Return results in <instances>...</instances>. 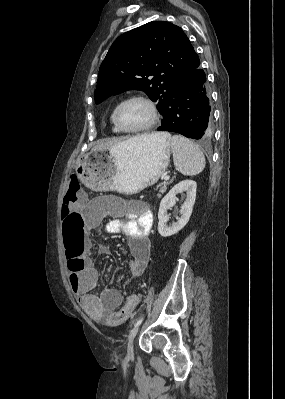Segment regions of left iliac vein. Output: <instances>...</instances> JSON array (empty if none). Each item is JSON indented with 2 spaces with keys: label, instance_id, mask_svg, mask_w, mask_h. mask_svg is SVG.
<instances>
[{
  "label": "left iliac vein",
  "instance_id": "left-iliac-vein-1",
  "mask_svg": "<svg viewBox=\"0 0 285 399\" xmlns=\"http://www.w3.org/2000/svg\"><path fill=\"white\" fill-rule=\"evenodd\" d=\"M139 331V326L135 327L129 334L128 337V348H127V356L131 358L133 356V341L135 336Z\"/></svg>",
  "mask_w": 285,
  "mask_h": 399
}]
</instances>
